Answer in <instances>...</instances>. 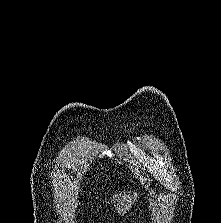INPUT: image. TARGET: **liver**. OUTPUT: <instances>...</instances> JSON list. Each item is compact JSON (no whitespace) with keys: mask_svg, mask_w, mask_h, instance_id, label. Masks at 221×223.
I'll use <instances>...</instances> for the list:
<instances>
[{"mask_svg":"<svg viewBox=\"0 0 221 223\" xmlns=\"http://www.w3.org/2000/svg\"><path fill=\"white\" fill-rule=\"evenodd\" d=\"M123 200H125L127 202V204L124 206V209H126L130 205V203L132 202V199H131V197H128L127 199H125L123 197Z\"/></svg>","mask_w":221,"mask_h":223,"instance_id":"obj_1","label":"liver"}]
</instances>
